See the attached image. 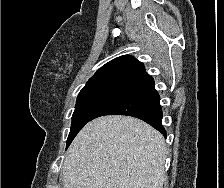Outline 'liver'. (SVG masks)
Listing matches in <instances>:
<instances>
[{"label": "liver", "instance_id": "liver-1", "mask_svg": "<svg viewBox=\"0 0 224 188\" xmlns=\"http://www.w3.org/2000/svg\"><path fill=\"white\" fill-rule=\"evenodd\" d=\"M164 137L129 116H103L78 133L65 157L64 188H162Z\"/></svg>", "mask_w": 224, "mask_h": 188}]
</instances>
